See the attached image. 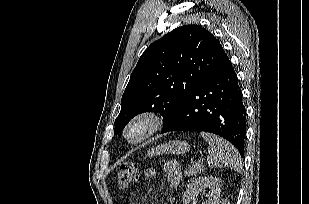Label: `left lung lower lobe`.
Returning a JSON list of instances; mask_svg holds the SVG:
<instances>
[{"label": "left lung lower lobe", "instance_id": "left-lung-lower-lobe-1", "mask_svg": "<svg viewBox=\"0 0 309 204\" xmlns=\"http://www.w3.org/2000/svg\"><path fill=\"white\" fill-rule=\"evenodd\" d=\"M170 131L210 132L225 138L244 154L246 111L228 56L200 81L161 133Z\"/></svg>", "mask_w": 309, "mask_h": 204}]
</instances>
